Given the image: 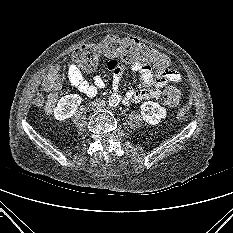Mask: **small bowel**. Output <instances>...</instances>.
I'll return each mask as SVG.
<instances>
[{"mask_svg":"<svg viewBox=\"0 0 233 233\" xmlns=\"http://www.w3.org/2000/svg\"><path fill=\"white\" fill-rule=\"evenodd\" d=\"M105 64L113 71L112 90L117 91L125 67L118 58H106ZM131 67L139 73L141 82L145 88L128 91L123 99L125 104H138L144 100L157 99L161 96V89L168 82H178L181 80V75L174 70L157 69L153 73L150 65L138 63L131 64ZM68 79L75 89L88 97L94 96L99 88L104 87V81L100 76L95 77L94 85L89 84L76 63L69 66Z\"/></svg>","mask_w":233,"mask_h":233,"instance_id":"c3829d8e","label":"small bowel"}]
</instances>
